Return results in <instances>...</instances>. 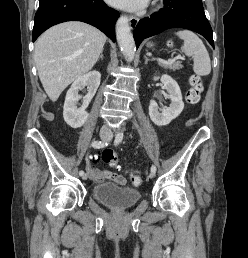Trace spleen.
I'll return each mask as SVG.
<instances>
[{
	"instance_id": "spleen-1",
	"label": "spleen",
	"mask_w": 248,
	"mask_h": 258,
	"mask_svg": "<svg viewBox=\"0 0 248 258\" xmlns=\"http://www.w3.org/2000/svg\"><path fill=\"white\" fill-rule=\"evenodd\" d=\"M184 43L181 51L193 58V70L197 75L206 76L211 72V61L202 40L192 31L182 30L176 33Z\"/></svg>"
}]
</instances>
